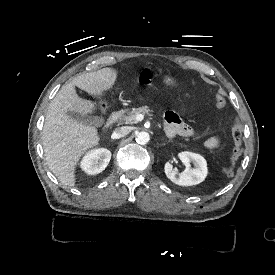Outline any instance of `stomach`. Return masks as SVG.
<instances>
[{"mask_svg": "<svg viewBox=\"0 0 275 275\" xmlns=\"http://www.w3.org/2000/svg\"><path fill=\"white\" fill-rule=\"evenodd\" d=\"M161 84L166 87H177L179 86V80L176 79L173 75L164 74L161 76Z\"/></svg>", "mask_w": 275, "mask_h": 275, "instance_id": "0dacf381", "label": "stomach"}]
</instances>
